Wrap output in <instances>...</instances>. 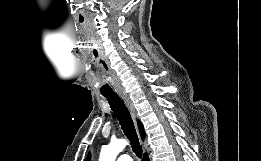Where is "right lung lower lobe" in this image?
Returning a JSON list of instances; mask_svg holds the SVG:
<instances>
[{
	"instance_id": "right-lung-lower-lobe-1",
	"label": "right lung lower lobe",
	"mask_w": 261,
	"mask_h": 161,
	"mask_svg": "<svg viewBox=\"0 0 261 161\" xmlns=\"http://www.w3.org/2000/svg\"><path fill=\"white\" fill-rule=\"evenodd\" d=\"M142 161H149V158H148L147 154H144V157H143Z\"/></svg>"
}]
</instances>
